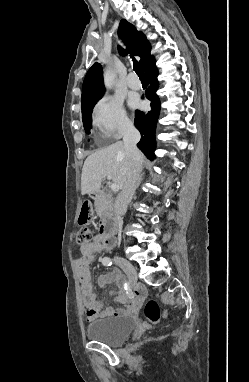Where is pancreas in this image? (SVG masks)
<instances>
[{"label": "pancreas", "mask_w": 249, "mask_h": 382, "mask_svg": "<svg viewBox=\"0 0 249 382\" xmlns=\"http://www.w3.org/2000/svg\"><path fill=\"white\" fill-rule=\"evenodd\" d=\"M95 210L99 217H103L106 213V203L105 199L102 197L96 198Z\"/></svg>", "instance_id": "cf45deb5"}]
</instances>
